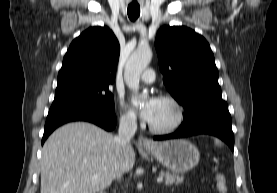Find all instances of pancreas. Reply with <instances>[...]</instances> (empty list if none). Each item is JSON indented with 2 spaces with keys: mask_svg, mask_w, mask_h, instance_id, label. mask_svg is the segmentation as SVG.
<instances>
[{
  "mask_svg": "<svg viewBox=\"0 0 277 193\" xmlns=\"http://www.w3.org/2000/svg\"><path fill=\"white\" fill-rule=\"evenodd\" d=\"M160 175L165 178V185L171 186L173 184H180L183 182L184 177L183 176H178L176 174H171L169 172H161Z\"/></svg>",
  "mask_w": 277,
  "mask_h": 193,
  "instance_id": "pancreas-1",
  "label": "pancreas"
}]
</instances>
